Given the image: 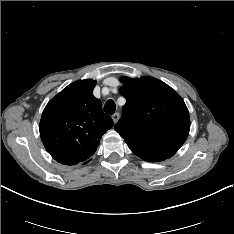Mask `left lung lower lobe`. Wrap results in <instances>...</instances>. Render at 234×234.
Returning <instances> with one entry per match:
<instances>
[{"label": "left lung lower lobe", "mask_w": 234, "mask_h": 234, "mask_svg": "<svg viewBox=\"0 0 234 234\" xmlns=\"http://www.w3.org/2000/svg\"><path fill=\"white\" fill-rule=\"evenodd\" d=\"M131 151L136 154L138 157L149 162H156L165 160L174 155L173 151H164V150H145L135 147H129Z\"/></svg>", "instance_id": "0a47b994"}]
</instances>
